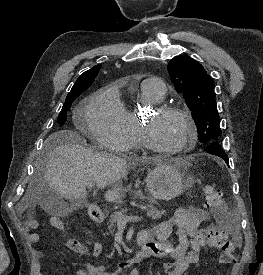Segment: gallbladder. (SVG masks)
I'll use <instances>...</instances> for the list:
<instances>
[{"mask_svg": "<svg viewBox=\"0 0 263 275\" xmlns=\"http://www.w3.org/2000/svg\"><path fill=\"white\" fill-rule=\"evenodd\" d=\"M38 203L47 214L52 216L65 217L72 211L70 204L57 191L48 187L41 190Z\"/></svg>", "mask_w": 263, "mask_h": 275, "instance_id": "gallbladder-1", "label": "gallbladder"}]
</instances>
